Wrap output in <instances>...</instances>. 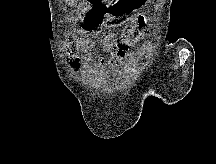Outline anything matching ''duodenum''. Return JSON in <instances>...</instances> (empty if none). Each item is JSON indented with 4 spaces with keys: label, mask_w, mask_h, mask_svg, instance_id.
<instances>
[{
    "label": "duodenum",
    "mask_w": 216,
    "mask_h": 164,
    "mask_svg": "<svg viewBox=\"0 0 216 164\" xmlns=\"http://www.w3.org/2000/svg\"><path fill=\"white\" fill-rule=\"evenodd\" d=\"M87 4H89V9H101L102 7H106L105 0H88Z\"/></svg>",
    "instance_id": "obj_1"
}]
</instances>
